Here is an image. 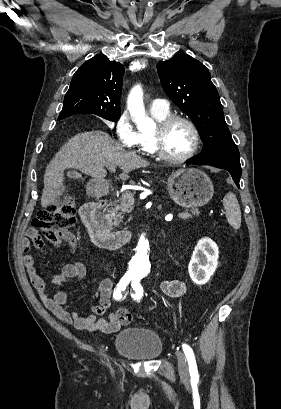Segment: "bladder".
Here are the masks:
<instances>
[{"label":"bladder","instance_id":"1","mask_svg":"<svg viewBox=\"0 0 281 409\" xmlns=\"http://www.w3.org/2000/svg\"><path fill=\"white\" fill-rule=\"evenodd\" d=\"M114 352L131 361H155L164 352L163 338L147 327H131L118 331L113 338Z\"/></svg>","mask_w":281,"mask_h":409}]
</instances>
